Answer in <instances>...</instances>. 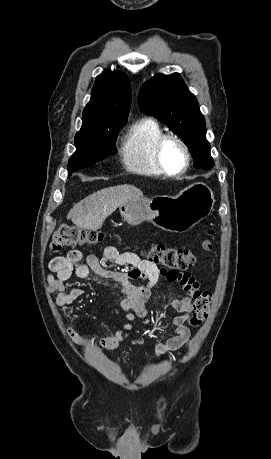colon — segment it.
<instances>
[{"mask_svg":"<svg viewBox=\"0 0 271 459\" xmlns=\"http://www.w3.org/2000/svg\"><path fill=\"white\" fill-rule=\"evenodd\" d=\"M213 231L208 230L204 239L200 243L203 251H209L212 248L210 238ZM104 234L96 230H88L76 225L63 224L53 234L50 242L51 251H59L69 246H94L101 242ZM145 256L151 262L160 264L164 269L169 271H184L193 266L197 260V253L189 248H170L163 244H154L145 252ZM212 293L209 290H203L196 298L193 310L187 317L190 326L200 325L208 316L209 306Z\"/></svg>","mask_w":271,"mask_h":459,"instance_id":"obj_1","label":"colon"}]
</instances>
